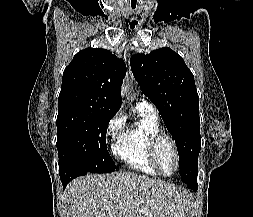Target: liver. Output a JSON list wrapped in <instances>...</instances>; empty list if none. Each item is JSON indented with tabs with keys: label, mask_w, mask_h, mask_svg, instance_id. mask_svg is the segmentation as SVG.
I'll list each match as a JSON object with an SVG mask.
<instances>
[{
	"label": "liver",
	"mask_w": 253,
	"mask_h": 217,
	"mask_svg": "<svg viewBox=\"0 0 253 217\" xmlns=\"http://www.w3.org/2000/svg\"><path fill=\"white\" fill-rule=\"evenodd\" d=\"M68 217H187L188 194L134 173L89 175L66 189Z\"/></svg>",
	"instance_id": "obj_1"
}]
</instances>
